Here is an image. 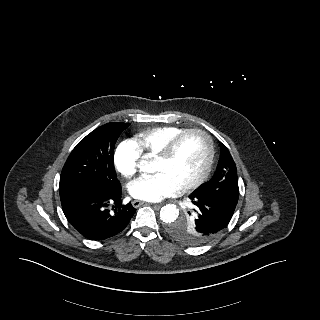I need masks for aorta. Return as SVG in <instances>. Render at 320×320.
Returning <instances> with one entry per match:
<instances>
[{
    "label": "aorta",
    "instance_id": "obj_1",
    "mask_svg": "<svg viewBox=\"0 0 320 320\" xmlns=\"http://www.w3.org/2000/svg\"><path fill=\"white\" fill-rule=\"evenodd\" d=\"M141 166V171L143 172H153V168L149 165H146L145 162H143ZM179 216V210L174 204H167L163 206L160 210V219L165 223H171L174 222Z\"/></svg>",
    "mask_w": 320,
    "mask_h": 320
}]
</instances>
